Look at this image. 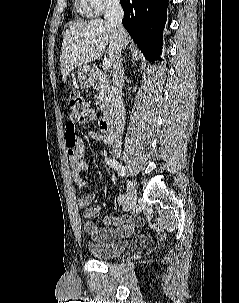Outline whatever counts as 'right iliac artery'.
<instances>
[{"instance_id": "82829eb1", "label": "right iliac artery", "mask_w": 239, "mask_h": 303, "mask_svg": "<svg viewBox=\"0 0 239 303\" xmlns=\"http://www.w3.org/2000/svg\"><path fill=\"white\" fill-rule=\"evenodd\" d=\"M105 162L107 165L115 169L119 175L124 176V167L115 159L112 158H105ZM126 196L125 195H120L118 198V201L120 204H123L125 202Z\"/></svg>"}]
</instances>
